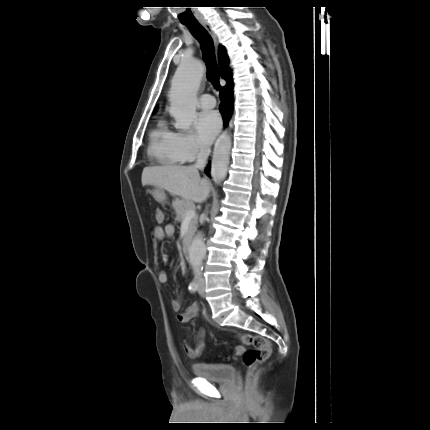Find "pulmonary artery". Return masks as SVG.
Here are the masks:
<instances>
[{
	"mask_svg": "<svg viewBox=\"0 0 430 430\" xmlns=\"http://www.w3.org/2000/svg\"><path fill=\"white\" fill-rule=\"evenodd\" d=\"M216 105V101L214 97L210 94H203L199 98V106L203 109H212Z\"/></svg>",
	"mask_w": 430,
	"mask_h": 430,
	"instance_id": "obj_1",
	"label": "pulmonary artery"
}]
</instances>
